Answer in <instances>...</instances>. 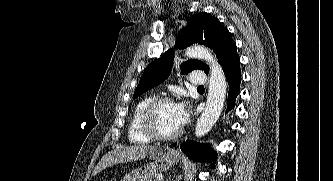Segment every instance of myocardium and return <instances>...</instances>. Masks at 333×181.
Masks as SVG:
<instances>
[{
	"label": "myocardium",
	"mask_w": 333,
	"mask_h": 181,
	"mask_svg": "<svg viewBox=\"0 0 333 181\" xmlns=\"http://www.w3.org/2000/svg\"><path fill=\"white\" fill-rule=\"evenodd\" d=\"M167 103H173L175 104V101L173 98L168 96H162V97H156L153 98L145 107V109L142 112L141 115V127L144 133L149 136L150 138L154 140H160V141H167L177 138L181 132L182 129L179 128L177 131L169 134L161 133L155 125V115L157 110L162 106L163 104Z\"/></svg>",
	"instance_id": "f54148a6"
}]
</instances>
